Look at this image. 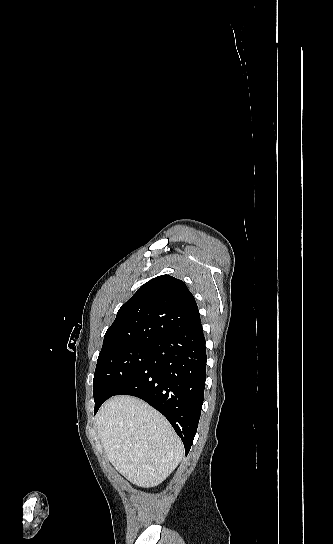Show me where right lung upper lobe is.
<instances>
[{"label":"right lung upper lobe","instance_id":"cb5924a9","mask_svg":"<svg viewBox=\"0 0 333 544\" xmlns=\"http://www.w3.org/2000/svg\"><path fill=\"white\" fill-rule=\"evenodd\" d=\"M200 322L198 306L186 284L161 275L142 285L121 306L106 331L101 352L129 344L154 343Z\"/></svg>","mask_w":333,"mask_h":544}]
</instances>
